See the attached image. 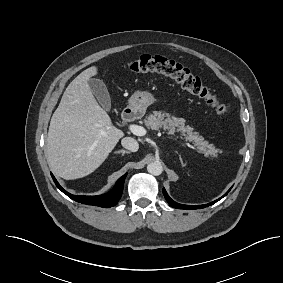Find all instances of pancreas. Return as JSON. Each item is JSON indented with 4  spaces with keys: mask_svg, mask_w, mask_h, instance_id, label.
Returning a JSON list of instances; mask_svg holds the SVG:
<instances>
[{
    "mask_svg": "<svg viewBox=\"0 0 283 283\" xmlns=\"http://www.w3.org/2000/svg\"><path fill=\"white\" fill-rule=\"evenodd\" d=\"M144 122L145 125L152 130L163 128L164 130H168L170 134H173L174 132L180 133L186 141L192 142L199 150L208 155L216 156L219 152L213 144H209L208 141L204 140L203 136L198 132H194L192 127L189 125L186 126L185 119L183 118L171 116L170 113L154 111L153 114L146 117Z\"/></svg>",
    "mask_w": 283,
    "mask_h": 283,
    "instance_id": "obj_1",
    "label": "pancreas"
}]
</instances>
